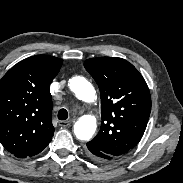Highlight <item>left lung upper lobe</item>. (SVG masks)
I'll list each match as a JSON object with an SVG mask.
<instances>
[{"label": "left lung upper lobe", "mask_w": 183, "mask_h": 183, "mask_svg": "<svg viewBox=\"0 0 183 183\" xmlns=\"http://www.w3.org/2000/svg\"><path fill=\"white\" fill-rule=\"evenodd\" d=\"M84 67L99 87L102 118L100 131L87 147L120 157L139 143L146 129L151 111L148 86L122 58H91Z\"/></svg>", "instance_id": "1"}]
</instances>
